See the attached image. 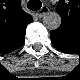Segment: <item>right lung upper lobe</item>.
<instances>
[{
    "instance_id": "1",
    "label": "right lung upper lobe",
    "mask_w": 80,
    "mask_h": 80,
    "mask_svg": "<svg viewBox=\"0 0 80 80\" xmlns=\"http://www.w3.org/2000/svg\"><path fill=\"white\" fill-rule=\"evenodd\" d=\"M10 19H11V22H10ZM10 19L8 24H5L6 30L4 29L2 31V34H1L2 39H5V35L7 37V34H8V38H9V34L11 35V33L15 34L19 32L22 34V31H24L27 24L32 21L31 18L22 9L20 11L19 16H12ZM8 31H10V33Z\"/></svg>"
}]
</instances>
